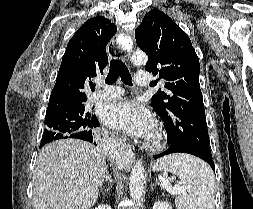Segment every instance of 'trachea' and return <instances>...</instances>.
I'll list each match as a JSON object with an SVG mask.
<instances>
[{
    "label": "trachea",
    "mask_w": 253,
    "mask_h": 209,
    "mask_svg": "<svg viewBox=\"0 0 253 209\" xmlns=\"http://www.w3.org/2000/svg\"><path fill=\"white\" fill-rule=\"evenodd\" d=\"M119 76L125 84L132 85L131 75L126 65L121 60H111L109 73L105 79V83L109 85L113 84Z\"/></svg>",
    "instance_id": "1"
}]
</instances>
